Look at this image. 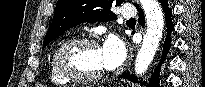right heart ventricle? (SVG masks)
Wrapping results in <instances>:
<instances>
[{"label": "right heart ventricle", "mask_w": 205, "mask_h": 87, "mask_svg": "<svg viewBox=\"0 0 205 87\" xmlns=\"http://www.w3.org/2000/svg\"><path fill=\"white\" fill-rule=\"evenodd\" d=\"M62 43H60L55 51L57 50V48L61 45ZM54 51V53H55ZM54 53L50 59V62H49V75H50V80L53 84H56V85H66L69 83V80L63 78L62 76H60L58 74V72L56 71L55 69V66H54V62H53V57H54Z\"/></svg>", "instance_id": "right-heart-ventricle-1"}]
</instances>
